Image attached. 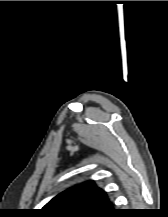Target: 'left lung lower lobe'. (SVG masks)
<instances>
[{"label": "left lung lower lobe", "instance_id": "0a47b994", "mask_svg": "<svg viewBox=\"0 0 168 217\" xmlns=\"http://www.w3.org/2000/svg\"><path fill=\"white\" fill-rule=\"evenodd\" d=\"M118 211H115L114 209H110L109 211L105 212L102 216L105 217H115L118 215Z\"/></svg>", "mask_w": 168, "mask_h": 217}]
</instances>
